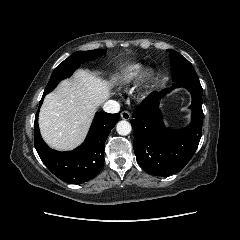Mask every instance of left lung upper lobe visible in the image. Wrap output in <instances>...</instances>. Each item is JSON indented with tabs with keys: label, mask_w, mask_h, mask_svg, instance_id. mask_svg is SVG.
<instances>
[{
	"label": "left lung upper lobe",
	"mask_w": 240,
	"mask_h": 240,
	"mask_svg": "<svg viewBox=\"0 0 240 240\" xmlns=\"http://www.w3.org/2000/svg\"><path fill=\"white\" fill-rule=\"evenodd\" d=\"M169 52L173 81L199 82L192 64L178 52L173 50H169Z\"/></svg>",
	"instance_id": "1"
}]
</instances>
